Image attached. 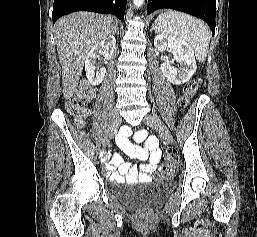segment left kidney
I'll list each match as a JSON object with an SVG mask.
<instances>
[{"instance_id":"left-kidney-1","label":"left kidney","mask_w":257,"mask_h":237,"mask_svg":"<svg viewBox=\"0 0 257 237\" xmlns=\"http://www.w3.org/2000/svg\"><path fill=\"white\" fill-rule=\"evenodd\" d=\"M154 46L159 52L171 51L172 59H166L160 69L169 82L181 85L187 82L197 69L193 50L184 41L165 35H157L154 39ZM175 62L180 63V69L175 68Z\"/></svg>"}]
</instances>
